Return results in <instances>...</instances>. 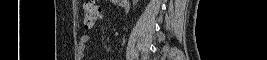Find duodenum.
Segmentation results:
<instances>
[{"mask_svg": "<svg viewBox=\"0 0 267 60\" xmlns=\"http://www.w3.org/2000/svg\"><path fill=\"white\" fill-rule=\"evenodd\" d=\"M126 0H115L114 3L119 4V5H123L124 3H126Z\"/></svg>", "mask_w": 267, "mask_h": 60, "instance_id": "1", "label": "duodenum"}]
</instances>
